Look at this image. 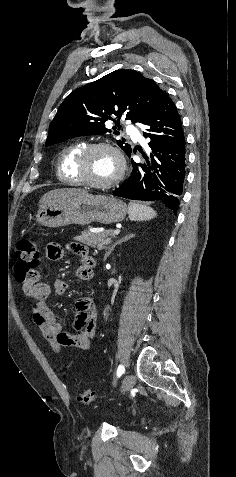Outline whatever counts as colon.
Masks as SVG:
<instances>
[{"label":"colon","instance_id":"colon-1","mask_svg":"<svg viewBox=\"0 0 236 477\" xmlns=\"http://www.w3.org/2000/svg\"><path fill=\"white\" fill-rule=\"evenodd\" d=\"M15 276L27 291H34L39 283L40 254L34 242L23 240L18 244L15 255ZM95 398L94 391L90 388L82 389L78 400L83 404L91 403Z\"/></svg>","mask_w":236,"mask_h":477}]
</instances>
